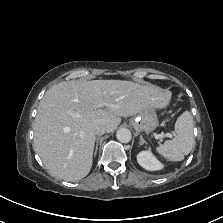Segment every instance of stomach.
<instances>
[{"instance_id": "1", "label": "stomach", "mask_w": 223, "mask_h": 223, "mask_svg": "<svg viewBox=\"0 0 223 223\" xmlns=\"http://www.w3.org/2000/svg\"><path fill=\"white\" fill-rule=\"evenodd\" d=\"M158 126V118L154 107H149L136 115L133 119V127L138 132H153Z\"/></svg>"}]
</instances>
